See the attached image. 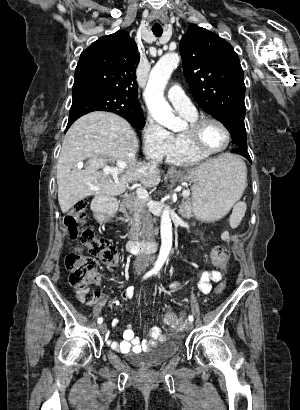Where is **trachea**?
Masks as SVG:
<instances>
[{
  "label": "trachea",
  "instance_id": "1",
  "mask_svg": "<svg viewBox=\"0 0 300 410\" xmlns=\"http://www.w3.org/2000/svg\"><path fill=\"white\" fill-rule=\"evenodd\" d=\"M152 31H153V34H154L156 37H160V36L162 35V33H163V30H162V29H152Z\"/></svg>",
  "mask_w": 300,
  "mask_h": 410
}]
</instances>
